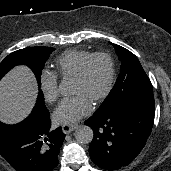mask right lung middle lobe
Returning a JSON list of instances; mask_svg holds the SVG:
<instances>
[{"mask_svg":"<svg viewBox=\"0 0 171 171\" xmlns=\"http://www.w3.org/2000/svg\"><path fill=\"white\" fill-rule=\"evenodd\" d=\"M54 50L52 47H29L17 50L9 54L0 63V79L5 75L11 68L18 64H24L29 66L35 73L39 86L41 85V71L44 67L49 54ZM37 107L45 109L44 97L42 91L39 92V97L36 103Z\"/></svg>","mask_w":171,"mask_h":171,"instance_id":"obj_1","label":"right lung middle lobe"}]
</instances>
